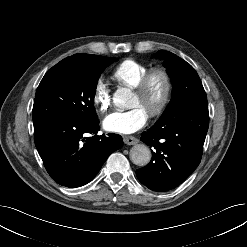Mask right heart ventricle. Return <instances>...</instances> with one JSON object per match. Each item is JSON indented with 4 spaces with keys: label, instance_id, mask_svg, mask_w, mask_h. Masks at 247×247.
<instances>
[{
    "label": "right heart ventricle",
    "instance_id": "right-heart-ventricle-1",
    "mask_svg": "<svg viewBox=\"0 0 247 247\" xmlns=\"http://www.w3.org/2000/svg\"><path fill=\"white\" fill-rule=\"evenodd\" d=\"M150 67L133 59H126L116 66L112 79L121 85L134 88Z\"/></svg>",
    "mask_w": 247,
    "mask_h": 247
}]
</instances>
